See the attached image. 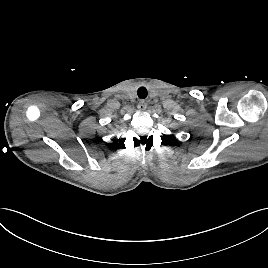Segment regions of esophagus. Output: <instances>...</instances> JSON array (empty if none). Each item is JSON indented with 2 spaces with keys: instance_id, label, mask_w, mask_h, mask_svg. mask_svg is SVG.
I'll return each mask as SVG.
<instances>
[{
  "instance_id": "34e87169",
  "label": "esophagus",
  "mask_w": 268,
  "mask_h": 268,
  "mask_svg": "<svg viewBox=\"0 0 268 268\" xmlns=\"http://www.w3.org/2000/svg\"><path fill=\"white\" fill-rule=\"evenodd\" d=\"M146 107H147V103L145 102V100H140V101L138 102L137 108H138L140 111L145 110Z\"/></svg>"
}]
</instances>
